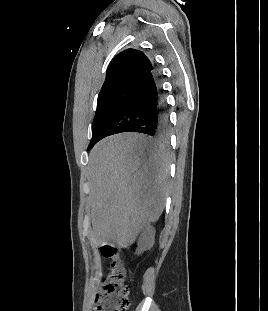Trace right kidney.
I'll return each mask as SVG.
<instances>
[{
  "instance_id": "1",
  "label": "right kidney",
  "mask_w": 268,
  "mask_h": 311,
  "mask_svg": "<svg viewBox=\"0 0 268 311\" xmlns=\"http://www.w3.org/2000/svg\"><path fill=\"white\" fill-rule=\"evenodd\" d=\"M155 231L153 228L148 227L145 231L140 235L138 241V251L137 253L140 254L142 251L150 249L155 241Z\"/></svg>"
}]
</instances>
